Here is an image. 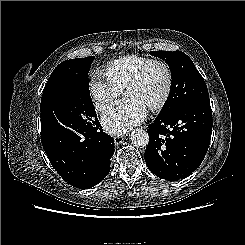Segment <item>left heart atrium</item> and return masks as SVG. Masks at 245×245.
I'll use <instances>...</instances> for the list:
<instances>
[{
	"label": "left heart atrium",
	"mask_w": 245,
	"mask_h": 245,
	"mask_svg": "<svg viewBox=\"0 0 245 245\" xmlns=\"http://www.w3.org/2000/svg\"><path fill=\"white\" fill-rule=\"evenodd\" d=\"M147 114L148 108L142 102L126 97L104 112L102 124L107 131L120 134L141 123Z\"/></svg>",
	"instance_id": "left-heart-atrium-1"
}]
</instances>
